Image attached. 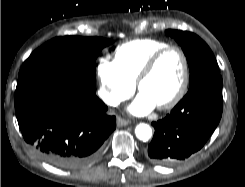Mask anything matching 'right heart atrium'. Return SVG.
Instances as JSON below:
<instances>
[{
    "label": "right heart atrium",
    "mask_w": 245,
    "mask_h": 187,
    "mask_svg": "<svg viewBox=\"0 0 245 187\" xmlns=\"http://www.w3.org/2000/svg\"><path fill=\"white\" fill-rule=\"evenodd\" d=\"M96 69L99 79L98 96L106 105L117 106L133 94L135 84L124 76L114 60L107 56L100 57Z\"/></svg>",
    "instance_id": "right-heart-atrium-1"
}]
</instances>
